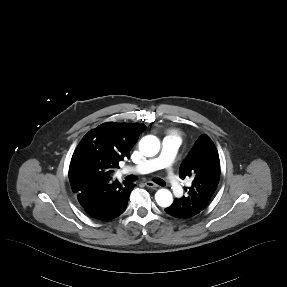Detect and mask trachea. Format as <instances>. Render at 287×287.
Segmentation results:
<instances>
[{
    "label": "trachea",
    "instance_id": "3493384b",
    "mask_svg": "<svg viewBox=\"0 0 287 287\" xmlns=\"http://www.w3.org/2000/svg\"><path fill=\"white\" fill-rule=\"evenodd\" d=\"M126 180L130 181V182H133L136 180V177L134 175H129L126 177ZM155 183H157L158 185L160 186H164L165 185V182L164 180L160 179V178H154L153 180Z\"/></svg>",
    "mask_w": 287,
    "mask_h": 287
}]
</instances>
